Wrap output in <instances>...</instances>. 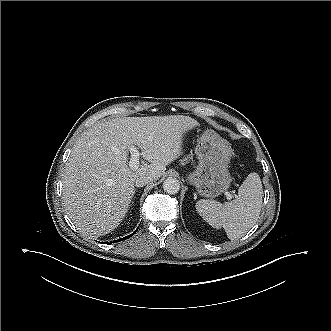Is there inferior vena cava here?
Returning <instances> with one entry per match:
<instances>
[{
    "instance_id": "obj_1",
    "label": "inferior vena cava",
    "mask_w": 331,
    "mask_h": 331,
    "mask_svg": "<svg viewBox=\"0 0 331 331\" xmlns=\"http://www.w3.org/2000/svg\"><path fill=\"white\" fill-rule=\"evenodd\" d=\"M154 180V177L150 175H142L136 178L135 180V186L142 187Z\"/></svg>"
}]
</instances>
